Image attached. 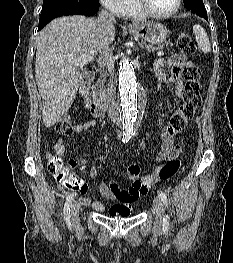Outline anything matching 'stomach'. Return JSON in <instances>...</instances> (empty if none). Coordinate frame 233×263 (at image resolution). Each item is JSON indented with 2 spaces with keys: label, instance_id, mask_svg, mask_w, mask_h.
Here are the masks:
<instances>
[{
  "label": "stomach",
  "instance_id": "stomach-1",
  "mask_svg": "<svg viewBox=\"0 0 233 263\" xmlns=\"http://www.w3.org/2000/svg\"><path fill=\"white\" fill-rule=\"evenodd\" d=\"M129 33L147 41L150 44L159 45L166 41L169 31L161 23L149 22L135 25L129 29Z\"/></svg>",
  "mask_w": 233,
  "mask_h": 263
}]
</instances>
